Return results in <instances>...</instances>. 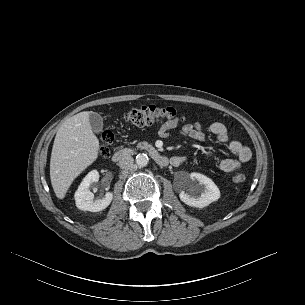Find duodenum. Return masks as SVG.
Masks as SVG:
<instances>
[{
    "label": "duodenum",
    "instance_id": "obj_1",
    "mask_svg": "<svg viewBox=\"0 0 305 305\" xmlns=\"http://www.w3.org/2000/svg\"><path fill=\"white\" fill-rule=\"evenodd\" d=\"M137 151L146 152L160 166L165 167L170 162V160L162 153H160L155 147L148 145H142L137 148L125 147L118 149L112 154V160L114 162H119L127 156L134 155Z\"/></svg>",
    "mask_w": 305,
    "mask_h": 305
}]
</instances>
